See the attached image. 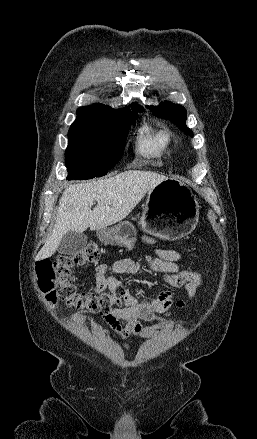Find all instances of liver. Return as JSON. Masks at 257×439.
<instances>
[{
  "mask_svg": "<svg viewBox=\"0 0 257 439\" xmlns=\"http://www.w3.org/2000/svg\"><path fill=\"white\" fill-rule=\"evenodd\" d=\"M165 176L141 170H129L114 177L70 185L59 200L53 233L37 255V260L51 257L62 237L69 231L82 233L87 228L99 230L123 220ZM97 205L93 210V202Z\"/></svg>",
  "mask_w": 257,
  "mask_h": 439,
  "instance_id": "obj_1",
  "label": "liver"
}]
</instances>
